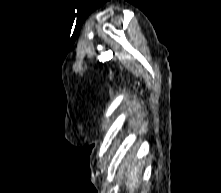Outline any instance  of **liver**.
I'll use <instances>...</instances> for the list:
<instances>
[{
    "instance_id": "1",
    "label": "liver",
    "mask_w": 221,
    "mask_h": 193,
    "mask_svg": "<svg viewBox=\"0 0 221 193\" xmlns=\"http://www.w3.org/2000/svg\"><path fill=\"white\" fill-rule=\"evenodd\" d=\"M126 170L124 169V177H125V186L126 191L129 193H135V190L139 186V179L142 174V165L141 163H132L131 158L128 161H125Z\"/></svg>"
}]
</instances>
